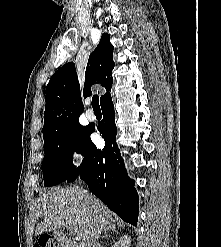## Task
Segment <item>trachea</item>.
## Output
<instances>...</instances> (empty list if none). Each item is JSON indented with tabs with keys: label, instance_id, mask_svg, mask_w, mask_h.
Segmentation results:
<instances>
[{
	"label": "trachea",
	"instance_id": "1",
	"mask_svg": "<svg viewBox=\"0 0 221 247\" xmlns=\"http://www.w3.org/2000/svg\"><path fill=\"white\" fill-rule=\"evenodd\" d=\"M92 107L94 110H100L99 97L97 95L92 97Z\"/></svg>",
	"mask_w": 221,
	"mask_h": 247
}]
</instances>
